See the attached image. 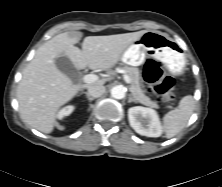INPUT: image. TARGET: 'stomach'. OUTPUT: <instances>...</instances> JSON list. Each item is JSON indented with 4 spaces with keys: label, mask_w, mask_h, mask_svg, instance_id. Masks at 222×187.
<instances>
[{
    "label": "stomach",
    "mask_w": 222,
    "mask_h": 187,
    "mask_svg": "<svg viewBox=\"0 0 222 187\" xmlns=\"http://www.w3.org/2000/svg\"><path fill=\"white\" fill-rule=\"evenodd\" d=\"M148 56L161 61L172 75H181L185 71V54L178 43L164 33L146 31L126 48L121 60L127 65L139 66Z\"/></svg>",
    "instance_id": "obj_1"
}]
</instances>
